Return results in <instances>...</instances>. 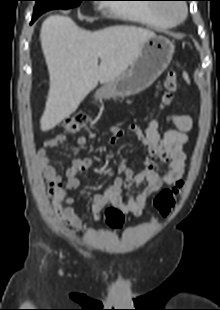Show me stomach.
<instances>
[{
    "label": "stomach",
    "mask_w": 220,
    "mask_h": 310,
    "mask_svg": "<svg viewBox=\"0 0 220 310\" xmlns=\"http://www.w3.org/2000/svg\"><path fill=\"white\" fill-rule=\"evenodd\" d=\"M174 53L173 43L163 36L146 40L130 67L118 78L105 83L95 98L127 97L145 90L168 67Z\"/></svg>",
    "instance_id": "1"
}]
</instances>
